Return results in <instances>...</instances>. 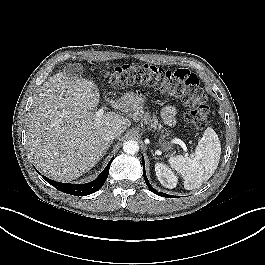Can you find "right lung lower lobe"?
<instances>
[{"mask_svg":"<svg viewBox=\"0 0 265 265\" xmlns=\"http://www.w3.org/2000/svg\"><path fill=\"white\" fill-rule=\"evenodd\" d=\"M114 158L110 160L106 168L102 171V173L92 182L86 184H68V183H60L48 179L43 176V178L52 186L56 187L58 190L75 195V196H85L99 190L105 183L108 174L111 162ZM36 170V169H35ZM37 171V170H36ZM38 172V171H37ZM39 173V172H38ZM40 174V173H39Z\"/></svg>","mask_w":265,"mask_h":265,"instance_id":"98d812e1","label":"right lung lower lobe"}]
</instances>
